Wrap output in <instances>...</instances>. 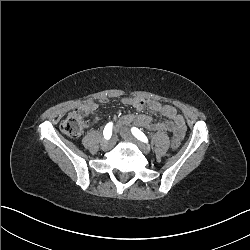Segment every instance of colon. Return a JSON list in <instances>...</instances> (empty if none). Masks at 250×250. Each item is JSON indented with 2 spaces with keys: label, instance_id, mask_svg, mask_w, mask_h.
I'll return each instance as SVG.
<instances>
[{
  "label": "colon",
  "instance_id": "1",
  "mask_svg": "<svg viewBox=\"0 0 250 250\" xmlns=\"http://www.w3.org/2000/svg\"><path fill=\"white\" fill-rule=\"evenodd\" d=\"M84 126V116L81 110L75 109L71 111L60 123V130L63 134L70 138L77 137L80 135ZM180 138L175 135L171 137L170 147L178 149L180 146Z\"/></svg>",
  "mask_w": 250,
  "mask_h": 250
}]
</instances>
